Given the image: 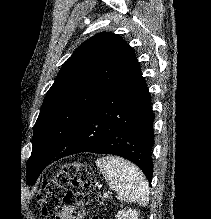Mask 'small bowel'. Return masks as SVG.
I'll list each match as a JSON object with an SVG mask.
<instances>
[{"mask_svg": "<svg viewBox=\"0 0 211 219\" xmlns=\"http://www.w3.org/2000/svg\"><path fill=\"white\" fill-rule=\"evenodd\" d=\"M55 219H75L73 215V208L65 207L58 212Z\"/></svg>", "mask_w": 211, "mask_h": 219, "instance_id": "1", "label": "small bowel"}]
</instances>
